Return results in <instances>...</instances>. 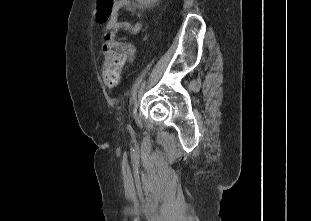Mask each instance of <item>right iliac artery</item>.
I'll list each match as a JSON object with an SVG mask.
<instances>
[{"mask_svg":"<svg viewBox=\"0 0 311 221\" xmlns=\"http://www.w3.org/2000/svg\"><path fill=\"white\" fill-rule=\"evenodd\" d=\"M127 128L131 131L132 130V128H131V126L128 124V126H127Z\"/></svg>","mask_w":311,"mask_h":221,"instance_id":"obj_1","label":"right iliac artery"}]
</instances>
